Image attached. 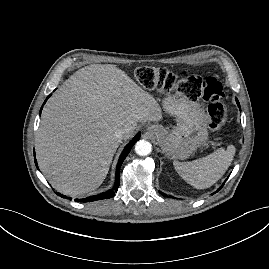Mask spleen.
Returning <instances> with one entry per match:
<instances>
[{
    "label": "spleen",
    "mask_w": 269,
    "mask_h": 269,
    "mask_svg": "<svg viewBox=\"0 0 269 269\" xmlns=\"http://www.w3.org/2000/svg\"><path fill=\"white\" fill-rule=\"evenodd\" d=\"M236 149L229 145L192 162L174 161L173 165L183 180L196 189H206L215 184L231 165Z\"/></svg>",
    "instance_id": "1"
}]
</instances>
